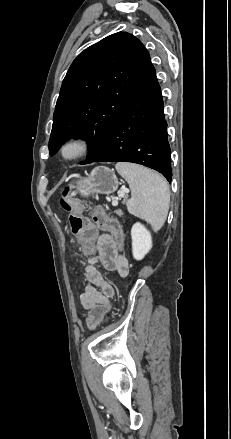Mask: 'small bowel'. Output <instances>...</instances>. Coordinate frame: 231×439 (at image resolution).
Here are the masks:
<instances>
[{"instance_id":"1","label":"small bowel","mask_w":231,"mask_h":439,"mask_svg":"<svg viewBox=\"0 0 231 439\" xmlns=\"http://www.w3.org/2000/svg\"><path fill=\"white\" fill-rule=\"evenodd\" d=\"M119 248L114 234L104 233L96 245L89 249L94 251V258L85 266L83 273L84 286L79 296L83 309L88 310L89 306L104 303L107 299L110 300L111 307L115 287L103 276L97 264L100 263L106 270L115 271L120 276H126L129 270L128 261Z\"/></svg>"}]
</instances>
